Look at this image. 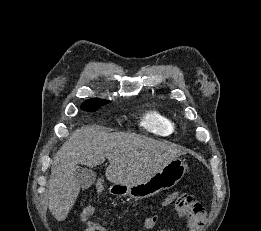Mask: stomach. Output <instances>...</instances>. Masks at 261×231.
I'll list each match as a JSON object with an SVG mask.
<instances>
[{
    "label": "stomach",
    "instance_id": "obj_1",
    "mask_svg": "<svg viewBox=\"0 0 261 231\" xmlns=\"http://www.w3.org/2000/svg\"><path fill=\"white\" fill-rule=\"evenodd\" d=\"M186 165L181 158H175L162 170L146 180L129 185L113 184L110 192L120 196H129L133 199L151 197L162 190L174 187L184 176Z\"/></svg>",
    "mask_w": 261,
    "mask_h": 231
}]
</instances>
